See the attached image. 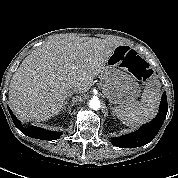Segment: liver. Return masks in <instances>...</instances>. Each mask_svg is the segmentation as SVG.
<instances>
[{
    "instance_id": "obj_1",
    "label": "liver",
    "mask_w": 178,
    "mask_h": 178,
    "mask_svg": "<svg viewBox=\"0 0 178 178\" xmlns=\"http://www.w3.org/2000/svg\"><path fill=\"white\" fill-rule=\"evenodd\" d=\"M122 43L99 38L49 39L35 48L12 76L9 102L21 120L45 121L59 114L72 90L88 91Z\"/></svg>"
}]
</instances>
